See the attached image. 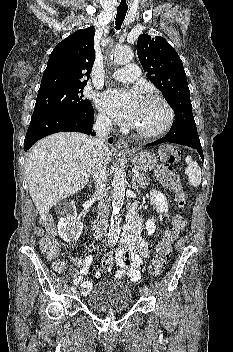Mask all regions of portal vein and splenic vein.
Returning <instances> with one entry per match:
<instances>
[{
	"label": "portal vein and splenic vein",
	"mask_w": 233,
	"mask_h": 352,
	"mask_svg": "<svg viewBox=\"0 0 233 352\" xmlns=\"http://www.w3.org/2000/svg\"><path fill=\"white\" fill-rule=\"evenodd\" d=\"M140 175H139V173L138 172H136V173H134V177H139Z\"/></svg>",
	"instance_id": "18ae733b"
}]
</instances>
